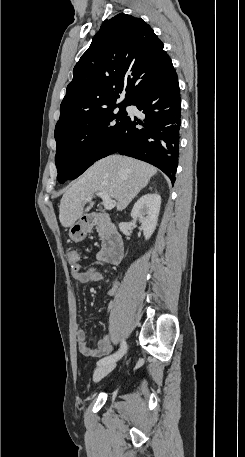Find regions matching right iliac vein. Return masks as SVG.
<instances>
[{"instance_id": "right-iliac-vein-1", "label": "right iliac vein", "mask_w": 245, "mask_h": 457, "mask_svg": "<svg viewBox=\"0 0 245 457\" xmlns=\"http://www.w3.org/2000/svg\"><path fill=\"white\" fill-rule=\"evenodd\" d=\"M115 366L116 365L114 362H110V363H106V364L98 366L94 370L93 381L99 382L100 380H102L106 375H108L115 368Z\"/></svg>"}]
</instances>
